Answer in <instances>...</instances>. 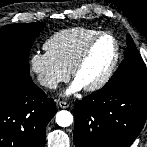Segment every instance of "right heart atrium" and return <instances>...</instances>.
<instances>
[{"label":"right heart atrium","mask_w":147,"mask_h":147,"mask_svg":"<svg viewBox=\"0 0 147 147\" xmlns=\"http://www.w3.org/2000/svg\"><path fill=\"white\" fill-rule=\"evenodd\" d=\"M29 64L38 83L48 90L56 89L60 83L67 81L70 75V71L47 52L33 53Z\"/></svg>","instance_id":"d8ad5b80"}]
</instances>
